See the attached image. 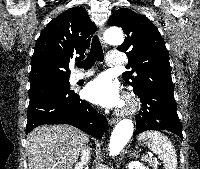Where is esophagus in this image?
<instances>
[{
  "mask_svg": "<svg viewBox=\"0 0 200 169\" xmlns=\"http://www.w3.org/2000/svg\"><path fill=\"white\" fill-rule=\"evenodd\" d=\"M103 35H104V26L101 25V26L99 27V29H98V36H99L100 41L102 42L103 46H104L105 48H107V44H106L105 41H104ZM117 122H118V120L115 119V118L109 119V124H110V125H114V124H116Z\"/></svg>",
  "mask_w": 200,
  "mask_h": 169,
  "instance_id": "obj_1",
  "label": "esophagus"
}]
</instances>
